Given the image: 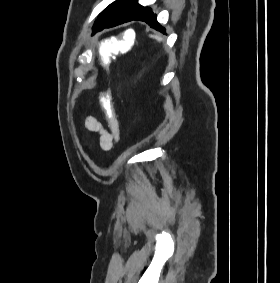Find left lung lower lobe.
Masks as SVG:
<instances>
[{"instance_id": "0a47b994", "label": "left lung lower lobe", "mask_w": 280, "mask_h": 283, "mask_svg": "<svg viewBox=\"0 0 280 283\" xmlns=\"http://www.w3.org/2000/svg\"><path fill=\"white\" fill-rule=\"evenodd\" d=\"M132 20H139V21H144L146 22L150 27L165 33V28L162 27L156 19V14H154L150 8L148 7H142L135 15L129 17V18H124V17H119L116 19H112L109 21H106L102 25H100L96 31H101L103 28H110L125 22H129Z\"/></svg>"}]
</instances>
